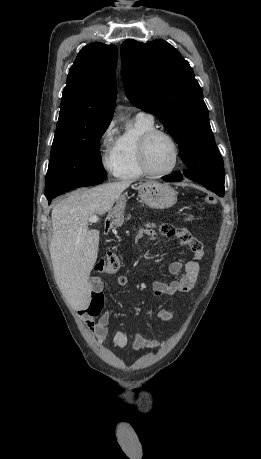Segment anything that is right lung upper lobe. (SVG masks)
Returning a JSON list of instances; mask_svg holds the SVG:
<instances>
[{"label":"right lung upper lobe","mask_w":261,"mask_h":459,"mask_svg":"<svg viewBox=\"0 0 261 459\" xmlns=\"http://www.w3.org/2000/svg\"><path fill=\"white\" fill-rule=\"evenodd\" d=\"M117 48L94 42L83 47L69 69L54 138L111 122L117 96Z\"/></svg>","instance_id":"1"}]
</instances>
